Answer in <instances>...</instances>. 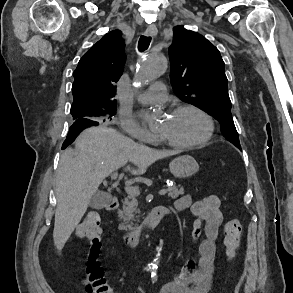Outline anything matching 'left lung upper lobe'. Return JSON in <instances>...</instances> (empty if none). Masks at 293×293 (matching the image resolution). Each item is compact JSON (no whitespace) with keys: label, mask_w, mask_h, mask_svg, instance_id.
I'll use <instances>...</instances> for the list:
<instances>
[{"label":"left lung upper lobe","mask_w":293,"mask_h":293,"mask_svg":"<svg viewBox=\"0 0 293 293\" xmlns=\"http://www.w3.org/2000/svg\"><path fill=\"white\" fill-rule=\"evenodd\" d=\"M169 59L174 93L208 111L221 124L223 135L241 148L231 115L225 63L219 50L202 35L176 26Z\"/></svg>","instance_id":"left-lung-upper-lobe-1"}]
</instances>
